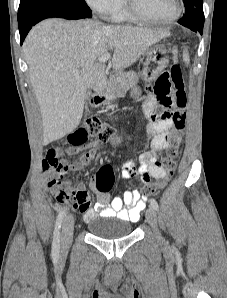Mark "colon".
Wrapping results in <instances>:
<instances>
[{
    "instance_id": "obj_1",
    "label": "colon",
    "mask_w": 227,
    "mask_h": 298,
    "mask_svg": "<svg viewBox=\"0 0 227 298\" xmlns=\"http://www.w3.org/2000/svg\"><path fill=\"white\" fill-rule=\"evenodd\" d=\"M174 54H177L176 49L174 50ZM169 72H171L169 82H171L175 89L174 104L176 106V110L172 112V115H161V110H166L163 108V105L172 103H156L155 107H159V112H157V115H148V117H169L174 125V128L179 130L185 125V106L187 103V96L184 89L183 76L180 66L176 63L173 64ZM90 138H96L101 142H112L114 144L119 142L115 129L97 118L88 119L84 125L69 135L68 142L71 146L80 147ZM172 144L173 146L170 149L169 158L163 162V165L168 170L169 174L171 173L173 167L171 158L175 155V137L172 138ZM167 178L168 176H166L161 182L147 185L144 189V193L146 195L156 194L165 184ZM113 183L114 174L111 166L103 165L97 173L95 182L96 190L100 193L108 192L112 188ZM50 185L55 188L54 195L58 202L69 205H76L80 203L82 199L80 194L57 187V183L55 181L51 182Z\"/></svg>"
}]
</instances>
